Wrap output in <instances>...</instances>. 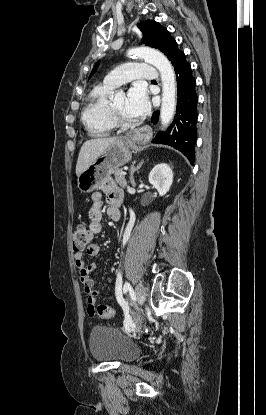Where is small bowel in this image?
I'll use <instances>...</instances> for the list:
<instances>
[{
  "label": "small bowel",
  "instance_id": "c3829d8e",
  "mask_svg": "<svg viewBox=\"0 0 266 415\" xmlns=\"http://www.w3.org/2000/svg\"><path fill=\"white\" fill-rule=\"evenodd\" d=\"M103 196L106 197V201L109 204L107 208L108 216L112 220H119L121 217L120 207L123 202V192L114 182L107 180L102 183L100 191L94 192L91 195L92 206L88 212V225L94 233L100 232L102 228ZM86 253L89 256H96L99 253V246L94 243L89 244L86 248ZM84 256L85 253L83 250L75 251L74 262L76 268L79 270L80 281L83 284L86 294L87 311L91 315L98 296L94 280L91 278V273L96 269V264H86Z\"/></svg>",
  "mask_w": 266,
  "mask_h": 415
}]
</instances>
